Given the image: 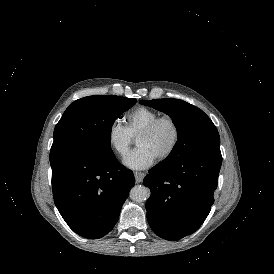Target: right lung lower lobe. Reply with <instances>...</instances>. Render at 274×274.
<instances>
[{
  "label": "right lung lower lobe",
  "instance_id": "1",
  "mask_svg": "<svg viewBox=\"0 0 274 274\" xmlns=\"http://www.w3.org/2000/svg\"><path fill=\"white\" fill-rule=\"evenodd\" d=\"M51 167L54 201L69 227L89 239L110 232L134 186L132 171L113 152L65 157Z\"/></svg>",
  "mask_w": 274,
  "mask_h": 274
}]
</instances>
